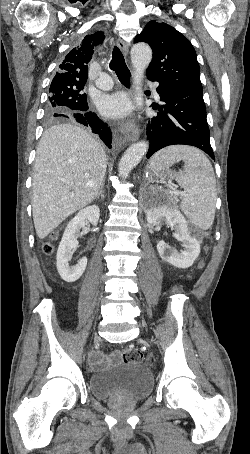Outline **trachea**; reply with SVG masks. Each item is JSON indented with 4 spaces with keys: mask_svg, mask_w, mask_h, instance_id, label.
I'll use <instances>...</instances> for the list:
<instances>
[{
    "mask_svg": "<svg viewBox=\"0 0 250 454\" xmlns=\"http://www.w3.org/2000/svg\"><path fill=\"white\" fill-rule=\"evenodd\" d=\"M111 70H113L120 82L124 85H130V71L125 64V60L122 52L117 46H114L112 51V59L109 64Z\"/></svg>",
    "mask_w": 250,
    "mask_h": 454,
    "instance_id": "1",
    "label": "trachea"
}]
</instances>
